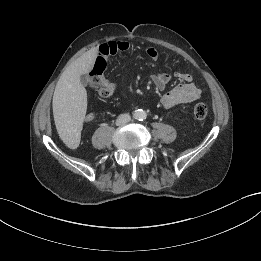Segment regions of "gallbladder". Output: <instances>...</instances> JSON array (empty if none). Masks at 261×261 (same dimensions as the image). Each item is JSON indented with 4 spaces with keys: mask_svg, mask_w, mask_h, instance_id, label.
Segmentation results:
<instances>
[{
    "mask_svg": "<svg viewBox=\"0 0 261 261\" xmlns=\"http://www.w3.org/2000/svg\"><path fill=\"white\" fill-rule=\"evenodd\" d=\"M87 78H88V76H87L86 74H82V75L80 76L81 83H82V84H85L86 81H87Z\"/></svg>",
    "mask_w": 261,
    "mask_h": 261,
    "instance_id": "1",
    "label": "gallbladder"
}]
</instances>
